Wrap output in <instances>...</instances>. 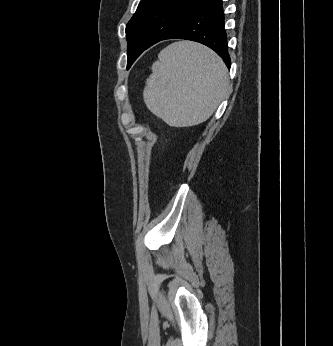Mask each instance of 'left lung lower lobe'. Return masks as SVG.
I'll return each mask as SVG.
<instances>
[{
    "mask_svg": "<svg viewBox=\"0 0 333 346\" xmlns=\"http://www.w3.org/2000/svg\"><path fill=\"white\" fill-rule=\"evenodd\" d=\"M222 0H207L161 40L186 39L214 50L230 68ZM160 40V41H161Z\"/></svg>",
    "mask_w": 333,
    "mask_h": 346,
    "instance_id": "1",
    "label": "left lung lower lobe"
}]
</instances>
